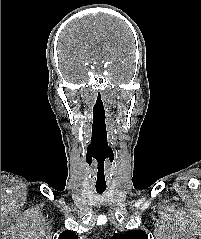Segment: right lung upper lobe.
Here are the masks:
<instances>
[{"label": "right lung upper lobe", "instance_id": "obj_1", "mask_svg": "<svg viewBox=\"0 0 201 239\" xmlns=\"http://www.w3.org/2000/svg\"><path fill=\"white\" fill-rule=\"evenodd\" d=\"M58 239H77V236L73 231H63Z\"/></svg>", "mask_w": 201, "mask_h": 239}]
</instances>
